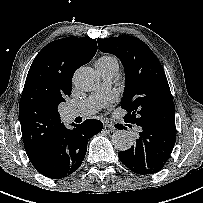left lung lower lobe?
Segmentation results:
<instances>
[{
    "instance_id": "0a47b994",
    "label": "left lung lower lobe",
    "mask_w": 203,
    "mask_h": 203,
    "mask_svg": "<svg viewBox=\"0 0 203 203\" xmlns=\"http://www.w3.org/2000/svg\"><path fill=\"white\" fill-rule=\"evenodd\" d=\"M139 136L131 148L118 154L120 161L139 175L159 172L166 164L176 142L175 129L156 125L139 126Z\"/></svg>"
}]
</instances>
